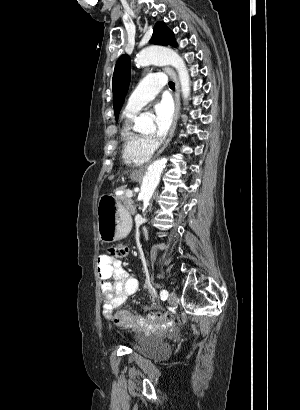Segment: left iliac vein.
I'll return each mask as SVG.
<instances>
[{
	"label": "left iliac vein",
	"mask_w": 300,
	"mask_h": 410,
	"mask_svg": "<svg viewBox=\"0 0 300 410\" xmlns=\"http://www.w3.org/2000/svg\"><path fill=\"white\" fill-rule=\"evenodd\" d=\"M168 302H169L171 305H175V304H176V302H177V295H176L175 292H171V293L169 294V296H168Z\"/></svg>",
	"instance_id": "1"
}]
</instances>
